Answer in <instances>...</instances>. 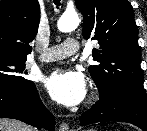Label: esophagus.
<instances>
[{"label":"esophagus","mask_w":147,"mask_h":131,"mask_svg":"<svg viewBox=\"0 0 147 131\" xmlns=\"http://www.w3.org/2000/svg\"><path fill=\"white\" fill-rule=\"evenodd\" d=\"M59 131H70L68 124L66 122H62L59 126Z\"/></svg>","instance_id":"esophagus-1"}]
</instances>
